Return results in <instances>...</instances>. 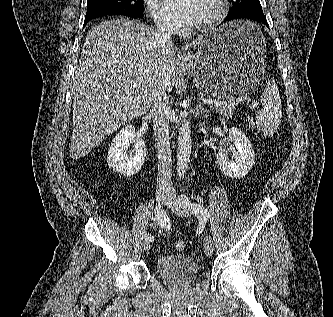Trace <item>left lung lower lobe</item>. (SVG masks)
<instances>
[{
    "mask_svg": "<svg viewBox=\"0 0 333 317\" xmlns=\"http://www.w3.org/2000/svg\"><path fill=\"white\" fill-rule=\"evenodd\" d=\"M240 19H251L255 21H260L269 28L266 17L264 16L262 10H249L237 14H232L225 19V22L231 20H240Z\"/></svg>",
    "mask_w": 333,
    "mask_h": 317,
    "instance_id": "0a47b994",
    "label": "left lung lower lobe"
}]
</instances>
